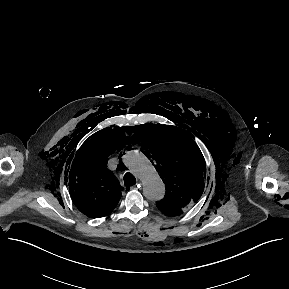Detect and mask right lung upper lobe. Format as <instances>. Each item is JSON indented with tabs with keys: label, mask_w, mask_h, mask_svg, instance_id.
Listing matches in <instances>:
<instances>
[{
	"label": "right lung upper lobe",
	"mask_w": 289,
	"mask_h": 289,
	"mask_svg": "<svg viewBox=\"0 0 289 289\" xmlns=\"http://www.w3.org/2000/svg\"><path fill=\"white\" fill-rule=\"evenodd\" d=\"M123 129L95 133L85 141L72 163L69 192L78 210L88 217L107 216L121 198L123 188L107 168V159L127 144L129 137Z\"/></svg>",
	"instance_id": "right-lung-upper-lobe-1"
}]
</instances>
